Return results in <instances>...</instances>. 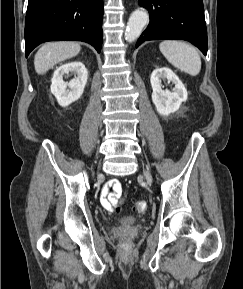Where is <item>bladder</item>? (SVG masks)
<instances>
[{
  "label": "bladder",
  "instance_id": "1",
  "mask_svg": "<svg viewBox=\"0 0 243 289\" xmlns=\"http://www.w3.org/2000/svg\"><path fill=\"white\" fill-rule=\"evenodd\" d=\"M137 221H139V219L136 218V217L126 216V217H122V218L119 220V223L124 224V225H128V224H134V223H136Z\"/></svg>",
  "mask_w": 243,
  "mask_h": 289
}]
</instances>
